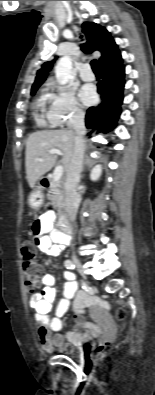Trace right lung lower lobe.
Segmentation results:
<instances>
[{
    "mask_svg": "<svg viewBox=\"0 0 155 395\" xmlns=\"http://www.w3.org/2000/svg\"><path fill=\"white\" fill-rule=\"evenodd\" d=\"M100 68L103 79L97 86L103 102L96 107H90L85 120L87 128L98 129V132H108L116 126L121 113L125 71L122 58Z\"/></svg>",
    "mask_w": 155,
    "mask_h": 395,
    "instance_id": "right-lung-lower-lobe-1",
    "label": "right lung lower lobe"
}]
</instances>
